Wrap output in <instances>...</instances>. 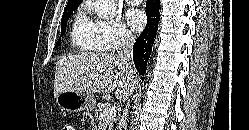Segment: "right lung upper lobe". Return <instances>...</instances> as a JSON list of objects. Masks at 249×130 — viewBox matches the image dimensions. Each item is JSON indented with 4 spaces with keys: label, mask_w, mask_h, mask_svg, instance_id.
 I'll list each match as a JSON object with an SVG mask.
<instances>
[{
    "label": "right lung upper lobe",
    "mask_w": 249,
    "mask_h": 130,
    "mask_svg": "<svg viewBox=\"0 0 249 130\" xmlns=\"http://www.w3.org/2000/svg\"><path fill=\"white\" fill-rule=\"evenodd\" d=\"M82 2V0H69L67 5H70V4H80Z\"/></svg>",
    "instance_id": "1"
}]
</instances>
